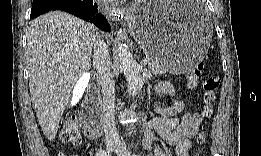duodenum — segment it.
<instances>
[{
  "label": "duodenum",
  "instance_id": "1",
  "mask_svg": "<svg viewBox=\"0 0 261 156\" xmlns=\"http://www.w3.org/2000/svg\"><path fill=\"white\" fill-rule=\"evenodd\" d=\"M81 118L85 124L98 123L102 125V109L100 104V92L97 86L93 87L87 99L85 100L82 107Z\"/></svg>",
  "mask_w": 261,
  "mask_h": 156
}]
</instances>
